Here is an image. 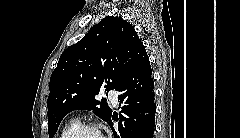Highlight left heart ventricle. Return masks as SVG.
<instances>
[{
	"label": "left heart ventricle",
	"instance_id": "obj_1",
	"mask_svg": "<svg viewBox=\"0 0 240 138\" xmlns=\"http://www.w3.org/2000/svg\"><path fill=\"white\" fill-rule=\"evenodd\" d=\"M79 138H103L102 135L97 132V131H93V130H88L83 132Z\"/></svg>",
	"mask_w": 240,
	"mask_h": 138
}]
</instances>
